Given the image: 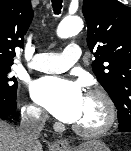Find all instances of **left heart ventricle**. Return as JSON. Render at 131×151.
I'll list each match as a JSON object with an SVG mask.
<instances>
[{"label":"left heart ventricle","instance_id":"left-heart-ventricle-1","mask_svg":"<svg viewBox=\"0 0 131 151\" xmlns=\"http://www.w3.org/2000/svg\"><path fill=\"white\" fill-rule=\"evenodd\" d=\"M105 117L102 102L96 98L85 96L80 117L74 123L83 127H95L100 125Z\"/></svg>","mask_w":131,"mask_h":151}]
</instances>
